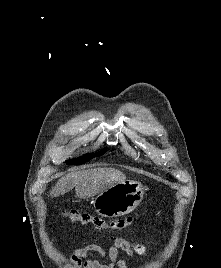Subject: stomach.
I'll list each match as a JSON object with an SVG mask.
<instances>
[{"mask_svg": "<svg viewBox=\"0 0 221 268\" xmlns=\"http://www.w3.org/2000/svg\"><path fill=\"white\" fill-rule=\"evenodd\" d=\"M145 188L136 181L117 183L93 201L95 211L104 217H118L132 212L142 201Z\"/></svg>", "mask_w": 221, "mask_h": 268, "instance_id": "stomach-1", "label": "stomach"}]
</instances>
